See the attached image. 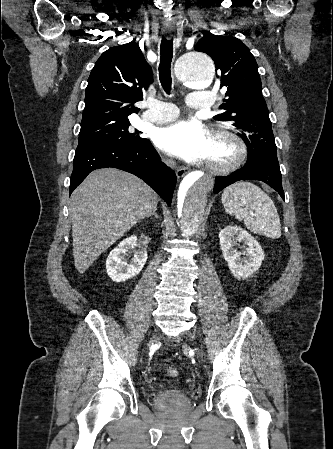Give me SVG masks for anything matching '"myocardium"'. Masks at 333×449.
Masks as SVG:
<instances>
[{"label": "myocardium", "instance_id": "obj_1", "mask_svg": "<svg viewBox=\"0 0 333 449\" xmlns=\"http://www.w3.org/2000/svg\"><path fill=\"white\" fill-rule=\"evenodd\" d=\"M211 140L226 146L229 150V157L220 162L206 160L205 166L215 174H229L238 169L246 160L248 148L244 140L237 134L225 130L218 129L213 132Z\"/></svg>", "mask_w": 333, "mask_h": 449}]
</instances>
